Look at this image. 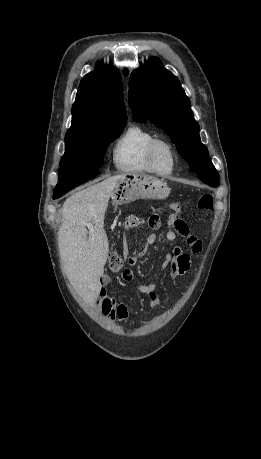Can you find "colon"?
<instances>
[{
	"label": "colon",
	"mask_w": 261,
	"mask_h": 459,
	"mask_svg": "<svg viewBox=\"0 0 261 459\" xmlns=\"http://www.w3.org/2000/svg\"><path fill=\"white\" fill-rule=\"evenodd\" d=\"M197 207L201 211H211L213 209V196L209 193L201 195L197 202ZM171 218H175L181 213V206L179 203L173 202L170 204ZM176 223L183 228L186 224L182 220H177ZM147 224L151 229H158L161 227V220L157 215H151L147 219ZM108 267L111 272H118L123 267L122 255L119 252L110 255L108 260Z\"/></svg>",
	"instance_id": "colon-1"
}]
</instances>
